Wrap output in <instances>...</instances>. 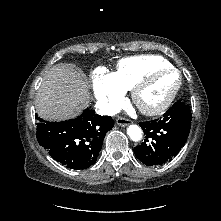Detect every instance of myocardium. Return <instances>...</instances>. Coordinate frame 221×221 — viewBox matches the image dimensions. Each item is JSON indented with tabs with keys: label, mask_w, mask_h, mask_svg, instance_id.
I'll list each match as a JSON object with an SVG mask.
<instances>
[{
	"label": "myocardium",
	"mask_w": 221,
	"mask_h": 221,
	"mask_svg": "<svg viewBox=\"0 0 221 221\" xmlns=\"http://www.w3.org/2000/svg\"><path fill=\"white\" fill-rule=\"evenodd\" d=\"M173 73L177 76V82L168 97L156 106H145L140 102V95L141 93L150 86L158 77L163 74ZM182 85V78L180 72L170 66V67H162L152 70L148 74H146L132 89V100L136 107L145 115L154 116L161 114L165 110L169 108V106L175 100L180 88Z\"/></svg>",
	"instance_id": "myocardium-1"
}]
</instances>
